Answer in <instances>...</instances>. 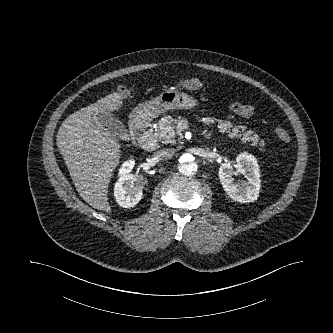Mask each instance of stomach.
Returning <instances> with one entry per match:
<instances>
[{"mask_svg": "<svg viewBox=\"0 0 333 333\" xmlns=\"http://www.w3.org/2000/svg\"><path fill=\"white\" fill-rule=\"evenodd\" d=\"M197 104L192 96L176 91L162 92L158 97L139 104L130 114L133 123L143 124L172 109H189Z\"/></svg>", "mask_w": 333, "mask_h": 333, "instance_id": "stomach-1", "label": "stomach"}]
</instances>
